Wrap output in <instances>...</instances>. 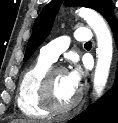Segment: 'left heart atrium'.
Returning a JSON list of instances; mask_svg holds the SVG:
<instances>
[{
	"instance_id": "1",
	"label": "left heart atrium",
	"mask_w": 118,
	"mask_h": 123,
	"mask_svg": "<svg viewBox=\"0 0 118 123\" xmlns=\"http://www.w3.org/2000/svg\"><path fill=\"white\" fill-rule=\"evenodd\" d=\"M68 80L70 84L78 88L80 81H81V70L78 66H74L68 73H67Z\"/></svg>"
}]
</instances>
